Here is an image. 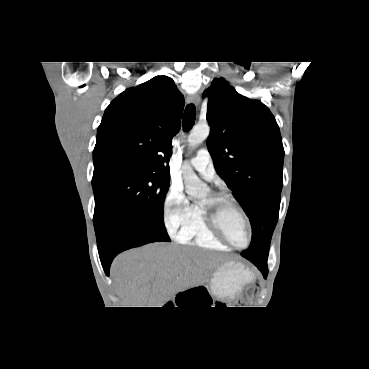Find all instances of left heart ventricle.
Segmentation results:
<instances>
[{
	"label": "left heart ventricle",
	"mask_w": 369,
	"mask_h": 369,
	"mask_svg": "<svg viewBox=\"0 0 369 369\" xmlns=\"http://www.w3.org/2000/svg\"><path fill=\"white\" fill-rule=\"evenodd\" d=\"M209 197L210 196H207L201 202V205L207 204ZM220 223L225 234L232 243L237 246H244L246 244L248 239L247 228L243 217L235 207L228 204L222 207Z\"/></svg>",
	"instance_id": "1"
}]
</instances>
